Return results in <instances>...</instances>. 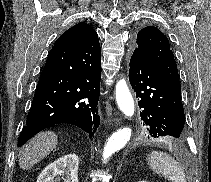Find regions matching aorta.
I'll return each instance as SVG.
<instances>
[{"label": "aorta", "instance_id": "obj_1", "mask_svg": "<svg viewBox=\"0 0 211 182\" xmlns=\"http://www.w3.org/2000/svg\"><path fill=\"white\" fill-rule=\"evenodd\" d=\"M116 102L126 116L132 117L134 115V101L125 79H120L116 84ZM130 137L131 129L128 127L113 133L104 147L103 160L107 161L112 154L122 149L130 140Z\"/></svg>", "mask_w": 211, "mask_h": 182}]
</instances>
